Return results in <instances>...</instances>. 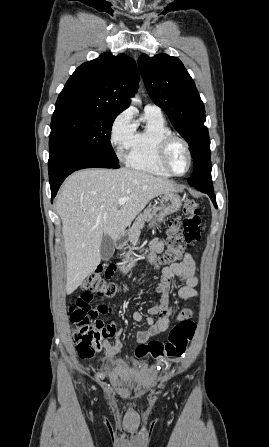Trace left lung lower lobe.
<instances>
[{"instance_id": "obj_1", "label": "left lung lower lobe", "mask_w": 269, "mask_h": 447, "mask_svg": "<svg viewBox=\"0 0 269 447\" xmlns=\"http://www.w3.org/2000/svg\"><path fill=\"white\" fill-rule=\"evenodd\" d=\"M196 189L206 193L212 200V202L214 204H216V200H215V195L213 193V186L212 185H208V186H194Z\"/></svg>"}]
</instances>
